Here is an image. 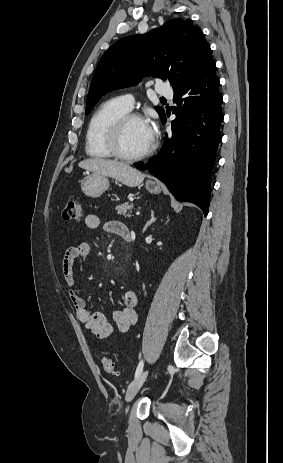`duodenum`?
<instances>
[{
  "label": "duodenum",
  "instance_id": "1",
  "mask_svg": "<svg viewBox=\"0 0 283 463\" xmlns=\"http://www.w3.org/2000/svg\"><path fill=\"white\" fill-rule=\"evenodd\" d=\"M126 239L130 241V240H131V237H130V235H129V236H127V238H126Z\"/></svg>",
  "mask_w": 283,
  "mask_h": 463
}]
</instances>
